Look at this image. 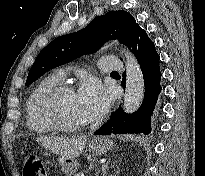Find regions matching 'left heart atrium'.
<instances>
[{
  "instance_id": "39dd6f15",
  "label": "left heart atrium",
  "mask_w": 205,
  "mask_h": 176,
  "mask_svg": "<svg viewBox=\"0 0 205 176\" xmlns=\"http://www.w3.org/2000/svg\"><path fill=\"white\" fill-rule=\"evenodd\" d=\"M77 99L88 119H98L108 106L107 93L96 80L85 81L77 92Z\"/></svg>"
}]
</instances>
